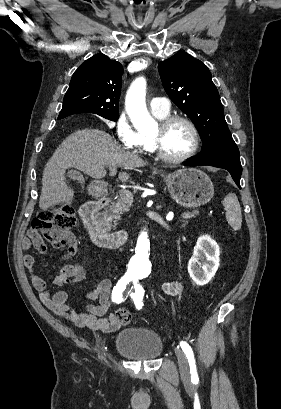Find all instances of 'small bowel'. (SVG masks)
<instances>
[{"instance_id": "small-bowel-1", "label": "small bowel", "mask_w": 281, "mask_h": 409, "mask_svg": "<svg viewBox=\"0 0 281 409\" xmlns=\"http://www.w3.org/2000/svg\"><path fill=\"white\" fill-rule=\"evenodd\" d=\"M31 245L35 247L37 252H44L46 250V245L34 230H30L27 237L22 241V248L25 251L29 250ZM24 265L40 300L54 313L72 322L75 326L93 331L112 333L119 330L122 325H126L116 318V312L107 315L112 304L111 295L114 287L112 280L104 279L96 288L84 292L81 295L83 300L89 302L96 301L97 303H88L82 309H78L69 303V295L66 291L59 290L51 293L48 290L45 280L36 273L32 255L26 254L24 256ZM84 275L85 271L82 265L66 264L53 277L52 283L58 287L74 284L80 282ZM163 290L168 295L178 296L183 291V285L179 281H170L163 284ZM118 310L126 309L120 308Z\"/></svg>"}]
</instances>
